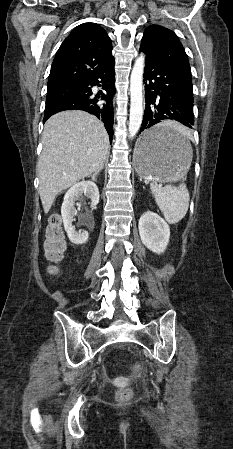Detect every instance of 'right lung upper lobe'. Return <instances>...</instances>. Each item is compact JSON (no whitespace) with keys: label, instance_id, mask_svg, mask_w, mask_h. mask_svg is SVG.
I'll list each match as a JSON object with an SVG mask.
<instances>
[{"label":"right lung upper lobe","instance_id":"cb5924a9","mask_svg":"<svg viewBox=\"0 0 233 449\" xmlns=\"http://www.w3.org/2000/svg\"><path fill=\"white\" fill-rule=\"evenodd\" d=\"M114 62L111 39L96 23L75 27L60 46L48 79V90L79 86Z\"/></svg>","mask_w":233,"mask_h":449}]
</instances>
